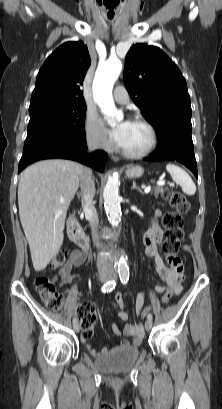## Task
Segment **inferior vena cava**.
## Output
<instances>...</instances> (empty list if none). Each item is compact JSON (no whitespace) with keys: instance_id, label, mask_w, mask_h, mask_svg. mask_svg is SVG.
Masks as SVG:
<instances>
[{"instance_id":"inferior-vena-cava-1","label":"inferior vena cava","mask_w":222,"mask_h":409,"mask_svg":"<svg viewBox=\"0 0 222 409\" xmlns=\"http://www.w3.org/2000/svg\"><path fill=\"white\" fill-rule=\"evenodd\" d=\"M87 146L89 152H92L100 146V137L94 136L87 139ZM81 187V202L85 215L88 217L89 225L92 231V238L98 249L103 250V245L99 242L97 229H98V214L94 207V195H95V183L92 179V170L84 168L79 179ZM97 267L100 272L113 268L112 262L104 257L99 256L97 259Z\"/></svg>"}]
</instances>
